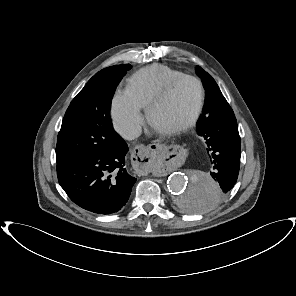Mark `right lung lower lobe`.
I'll use <instances>...</instances> for the list:
<instances>
[{"instance_id":"98d812e1","label":"right lung lower lobe","mask_w":296,"mask_h":296,"mask_svg":"<svg viewBox=\"0 0 296 296\" xmlns=\"http://www.w3.org/2000/svg\"><path fill=\"white\" fill-rule=\"evenodd\" d=\"M128 146L57 164L60 186L81 208L96 214H113L128 201L136 178L125 167Z\"/></svg>"}]
</instances>
